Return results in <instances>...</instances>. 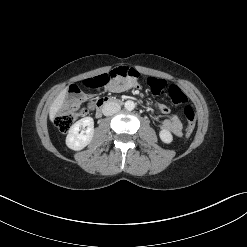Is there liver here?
I'll use <instances>...</instances> for the list:
<instances>
[{
    "label": "liver",
    "mask_w": 247,
    "mask_h": 247,
    "mask_svg": "<svg viewBox=\"0 0 247 247\" xmlns=\"http://www.w3.org/2000/svg\"><path fill=\"white\" fill-rule=\"evenodd\" d=\"M67 93V89H64L60 92V94L56 97V99L53 101L52 105L49 109V118L53 122L56 114L60 111L64 104L65 96Z\"/></svg>",
    "instance_id": "6515ba94"
}]
</instances>
